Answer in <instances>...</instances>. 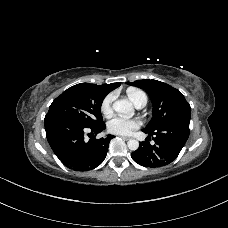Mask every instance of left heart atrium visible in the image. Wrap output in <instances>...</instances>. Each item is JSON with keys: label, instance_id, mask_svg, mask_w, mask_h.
<instances>
[{"label": "left heart atrium", "instance_id": "left-heart-atrium-1", "mask_svg": "<svg viewBox=\"0 0 228 228\" xmlns=\"http://www.w3.org/2000/svg\"><path fill=\"white\" fill-rule=\"evenodd\" d=\"M140 126V121L137 119H126L115 116L108 122V129L116 134H128Z\"/></svg>", "mask_w": 228, "mask_h": 228}]
</instances>
